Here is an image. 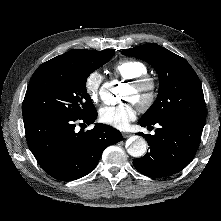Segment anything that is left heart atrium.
I'll use <instances>...</instances> for the list:
<instances>
[{
  "label": "left heart atrium",
  "mask_w": 221,
  "mask_h": 221,
  "mask_svg": "<svg viewBox=\"0 0 221 221\" xmlns=\"http://www.w3.org/2000/svg\"><path fill=\"white\" fill-rule=\"evenodd\" d=\"M135 117L136 110L132 102L104 106L99 110V120L118 129H125Z\"/></svg>",
  "instance_id": "39dd6f15"
}]
</instances>
